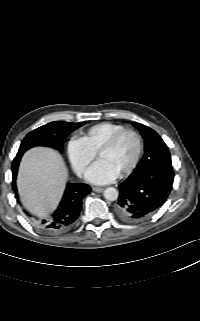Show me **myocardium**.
<instances>
[{"label":"myocardium","mask_w":200,"mask_h":321,"mask_svg":"<svg viewBox=\"0 0 200 321\" xmlns=\"http://www.w3.org/2000/svg\"><path fill=\"white\" fill-rule=\"evenodd\" d=\"M125 134H132L135 137L136 142H137V149H136V153H135V156H134L131 164L119 174L121 177L129 175L136 168V166L138 165V163L140 161L142 151H143V140H142L141 134L133 128H124V129L118 131L117 133H115L112 137H110L99 148V150L97 152V154L99 156L101 152L113 148Z\"/></svg>","instance_id":"1"}]
</instances>
